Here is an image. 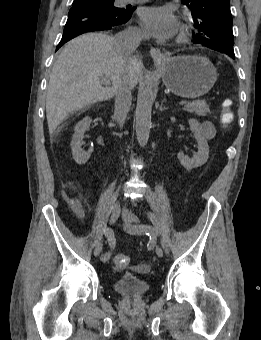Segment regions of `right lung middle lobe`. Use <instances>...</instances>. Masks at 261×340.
<instances>
[{
  "label": "right lung middle lobe",
  "mask_w": 261,
  "mask_h": 340,
  "mask_svg": "<svg viewBox=\"0 0 261 340\" xmlns=\"http://www.w3.org/2000/svg\"><path fill=\"white\" fill-rule=\"evenodd\" d=\"M81 3L99 6L103 10H106L107 12H114V13H119V14L125 13L124 8L122 9V8H118L114 6V0H91V1L81 2ZM74 4H78V3H73V5Z\"/></svg>",
  "instance_id": "dd1d6c3e"
}]
</instances>
